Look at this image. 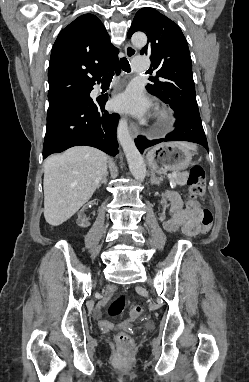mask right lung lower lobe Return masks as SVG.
I'll use <instances>...</instances> for the list:
<instances>
[{
    "label": "right lung lower lobe",
    "mask_w": 249,
    "mask_h": 382,
    "mask_svg": "<svg viewBox=\"0 0 249 382\" xmlns=\"http://www.w3.org/2000/svg\"><path fill=\"white\" fill-rule=\"evenodd\" d=\"M109 70H115L118 75L119 61L114 62L107 71ZM93 85L87 89L89 95ZM107 99L108 95L97 99L88 96L80 103L68 105L47 115L43 159L50 154L78 145L96 147L112 156L116 155L118 148L116 128L119 115L110 114L104 109Z\"/></svg>",
    "instance_id": "98d812e1"
}]
</instances>
